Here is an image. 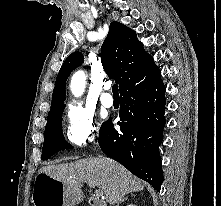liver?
<instances>
[{
    "mask_svg": "<svg viewBox=\"0 0 221 206\" xmlns=\"http://www.w3.org/2000/svg\"><path fill=\"white\" fill-rule=\"evenodd\" d=\"M58 181L79 188L80 182L98 187L110 205L123 196L141 191L144 183L119 163L101 157L80 159L71 163L44 166L39 170Z\"/></svg>",
    "mask_w": 221,
    "mask_h": 206,
    "instance_id": "liver-1",
    "label": "liver"
}]
</instances>
